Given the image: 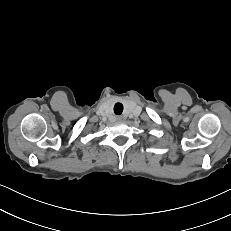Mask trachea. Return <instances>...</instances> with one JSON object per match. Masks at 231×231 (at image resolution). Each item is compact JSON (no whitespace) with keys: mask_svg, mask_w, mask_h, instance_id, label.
<instances>
[{"mask_svg":"<svg viewBox=\"0 0 231 231\" xmlns=\"http://www.w3.org/2000/svg\"><path fill=\"white\" fill-rule=\"evenodd\" d=\"M123 112V105L121 103H116L114 105V113L117 115H121Z\"/></svg>","mask_w":231,"mask_h":231,"instance_id":"3493384b","label":"trachea"}]
</instances>
